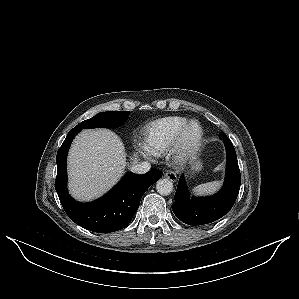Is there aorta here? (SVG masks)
Returning <instances> with one entry per match:
<instances>
[{
    "label": "aorta",
    "mask_w": 299,
    "mask_h": 299,
    "mask_svg": "<svg viewBox=\"0 0 299 299\" xmlns=\"http://www.w3.org/2000/svg\"><path fill=\"white\" fill-rule=\"evenodd\" d=\"M156 190L159 194L167 196L173 191V183L170 179H159L156 184Z\"/></svg>",
    "instance_id": "aorta-1"
}]
</instances>
